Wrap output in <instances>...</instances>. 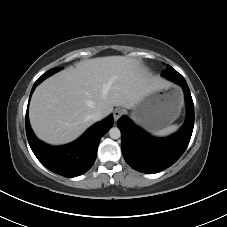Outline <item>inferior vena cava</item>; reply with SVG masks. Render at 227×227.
Listing matches in <instances>:
<instances>
[{
  "label": "inferior vena cava",
  "instance_id": "602c4592",
  "mask_svg": "<svg viewBox=\"0 0 227 227\" xmlns=\"http://www.w3.org/2000/svg\"><path fill=\"white\" fill-rule=\"evenodd\" d=\"M91 119L95 121H99L103 118V113L101 111H95L91 114Z\"/></svg>",
  "mask_w": 227,
  "mask_h": 227
}]
</instances>
